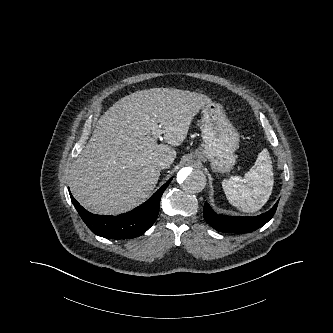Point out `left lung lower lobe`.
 I'll use <instances>...</instances> for the list:
<instances>
[{
	"mask_svg": "<svg viewBox=\"0 0 333 333\" xmlns=\"http://www.w3.org/2000/svg\"><path fill=\"white\" fill-rule=\"evenodd\" d=\"M278 202L267 212L254 217H232L215 213L208 203L204 204L203 217L214 229L223 233L242 234L265 225L274 215Z\"/></svg>",
	"mask_w": 333,
	"mask_h": 333,
	"instance_id": "obj_1",
	"label": "left lung lower lobe"
}]
</instances>
